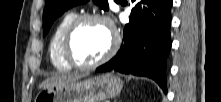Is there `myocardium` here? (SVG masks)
Instances as JSON below:
<instances>
[{
    "label": "myocardium",
    "mask_w": 221,
    "mask_h": 102,
    "mask_svg": "<svg viewBox=\"0 0 221 102\" xmlns=\"http://www.w3.org/2000/svg\"><path fill=\"white\" fill-rule=\"evenodd\" d=\"M85 21H99L105 24L110 32L111 42L107 51L98 60L92 63L82 64V63L76 62L73 59L70 53V45H71L72 36L76 28ZM119 42H120L119 34L113 22L110 20V18H108L104 14L97 13V12L83 13V14L77 15L67 26L64 36H63V40H62L61 52H62L63 59L70 67L80 69V70H90L107 62L115 54L119 46Z\"/></svg>",
    "instance_id": "myocardium-1"
}]
</instances>
